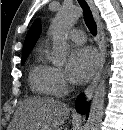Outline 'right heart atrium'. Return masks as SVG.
Returning <instances> with one entry per match:
<instances>
[{
    "instance_id": "obj_1",
    "label": "right heart atrium",
    "mask_w": 123,
    "mask_h": 130,
    "mask_svg": "<svg viewBox=\"0 0 123 130\" xmlns=\"http://www.w3.org/2000/svg\"><path fill=\"white\" fill-rule=\"evenodd\" d=\"M55 86L57 96H63L71 89V81L65 72L56 69L55 71Z\"/></svg>"
}]
</instances>
